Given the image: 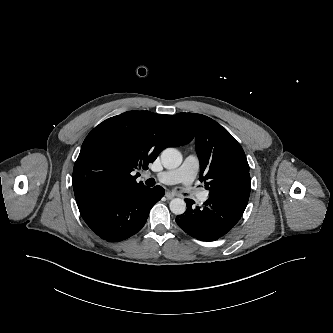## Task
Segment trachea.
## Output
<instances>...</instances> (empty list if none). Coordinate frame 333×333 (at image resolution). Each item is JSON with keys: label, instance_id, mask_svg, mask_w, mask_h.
Masks as SVG:
<instances>
[{"label": "trachea", "instance_id": "1", "mask_svg": "<svg viewBox=\"0 0 333 333\" xmlns=\"http://www.w3.org/2000/svg\"><path fill=\"white\" fill-rule=\"evenodd\" d=\"M146 184L148 186H154L155 185V180L153 178H150L146 181Z\"/></svg>", "mask_w": 333, "mask_h": 333}]
</instances>
